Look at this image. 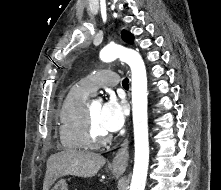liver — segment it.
<instances>
[{
	"label": "liver",
	"instance_id": "liver-1",
	"mask_svg": "<svg viewBox=\"0 0 221 190\" xmlns=\"http://www.w3.org/2000/svg\"><path fill=\"white\" fill-rule=\"evenodd\" d=\"M105 162L106 159L102 155L89 151L66 149L55 153L47 160L43 190H49L62 176L93 177Z\"/></svg>",
	"mask_w": 221,
	"mask_h": 190
}]
</instances>
